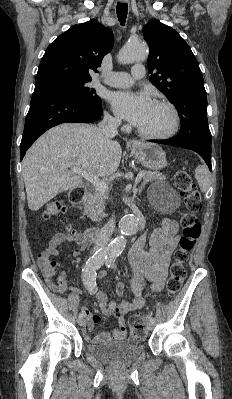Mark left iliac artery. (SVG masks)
I'll use <instances>...</instances> for the list:
<instances>
[{
  "mask_svg": "<svg viewBox=\"0 0 232 399\" xmlns=\"http://www.w3.org/2000/svg\"><path fill=\"white\" fill-rule=\"evenodd\" d=\"M119 256L118 253H108L106 255L105 263L109 268H112L114 266V262L116 258ZM150 321H154V317H150Z\"/></svg>",
  "mask_w": 232,
  "mask_h": 399,
  "instance_id": "obj_1",
  "label": "left iliac artery"
}]
</instances>
